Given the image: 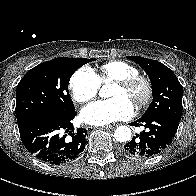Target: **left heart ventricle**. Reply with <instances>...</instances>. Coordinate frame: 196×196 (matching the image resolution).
Returning a JSON list of instances; mask_svg holds the SVG:
<instances>
[{"mask_svg": "<svg viewBox=\"0 0 196 196\" xmlns=\"http://www.w3.org/2000/svg\"><path fill=\"white\" fill-rule=\"evenodd\" d=\"M144 88L142 85H137L130 89L122 88L118 85H113L109 96L114 97H124L129 100L132 104H136L143 96Z\"/></svg>", "mask_w": 196, "mask_h": 196, "instance_id": "b2bd125f", "label": "left heart ventricle"}]
</instances>
